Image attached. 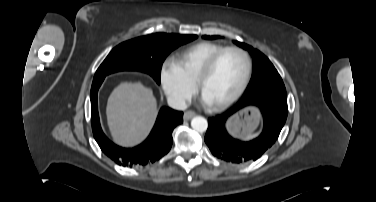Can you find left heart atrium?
<instances>
[{
	"instance_id": "left-heart-atrium-1",
	"label": "left heart atrium",
	"mask_w": 376,
	"mask_h": 202,
	"mask_svg": "<svg viewBox=\"0 0 376 202\" xmlns=\"http://www.w3.org/2000/svg\"><path fill=\"white\" fill-rule=\"evenodd\" d=\"M203 99H204V101L206 102V103H208V101L203 97Z\"/></svg>"
}]
</instances>
